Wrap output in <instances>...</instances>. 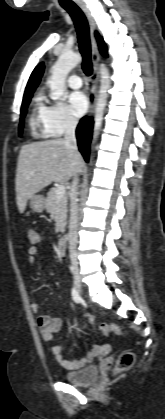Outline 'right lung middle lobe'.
<instances>
[{"label":"right lung middle lobe","instance_id":"right-lung-middle-lobe-1","mask_svg":"<svg viewBox=\"0 0 165 419\" xmlns=\"http://www.w3.org/2000/svg\"><path fill=\"white\" fill-rule=\"evenodd\" d=\"M31 97L32 96H30V97H28L26 99H23V102H22L21 114H20V124H19V134H21L22 131H23L24 117L26 115L27 107H28V104L30 102Z\"/></svg>","mask_w":165,"mask_h":419}]
</instances>
